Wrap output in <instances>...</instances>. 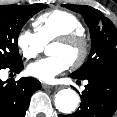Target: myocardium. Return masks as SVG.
I'll return each mask as SVG.
<instances>
[{
	"mask_svg": "<svg viewBox=\"0 0 117 117\" xmlns=\"http://www.w3.org/2000/svg\"><path fill=\"white\" fill-rule=\"evenodd\" d=\"M53 43H57L69 48H77L78 55L70 63L74 68L82 66L89 57L90 44L88 39L81 33H70L59 36L53 40Z\"/></svg>",
	"mask_w": 117,
	"mask_h": 117,
	"instance_id": "1",
	"label": "myocardium"
}]
</instances>
